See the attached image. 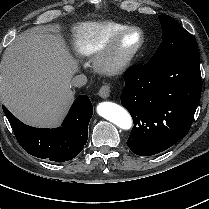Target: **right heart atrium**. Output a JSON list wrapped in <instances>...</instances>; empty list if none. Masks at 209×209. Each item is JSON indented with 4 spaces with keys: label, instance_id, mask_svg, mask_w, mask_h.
<instances>
[{
    "label": "right heart atrium",
    "instance_id": "right-heart-atrium-1",
    "mask_svg": "<svg viewBox=\"0 0 209 209\" xmlns=\"http://www.w3.org/2000/svg\"><path fill=\"white\" fill-rule=\"evenodd\" d=\"M73 71H74V67L73 66H68V68H67V75L69 76V75H71L72 73H73Z\"/></svg>",
    "mask_w": 209,
    "mask_h": 209
}]
</instances>
